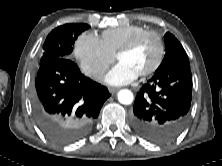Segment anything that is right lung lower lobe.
<instances>
[{
  "mask_svg": "<svg viewBox=\"0 0 222 166\" xmlns=\"http://www.w3.org/2000/svg\"><path fill=\"white\" fill-rule=\"evenodd\" d=\"M109 97L106 87L85 77L69 58H60L39 67L31 102L44 134L69 144L88 132Z\"/></svg>",
  "mask_w": 222,
  "mask_h": 166,
  "instance_id": "98d812e1",
  "label": "right lung lower lobe"
}]
</instances>
